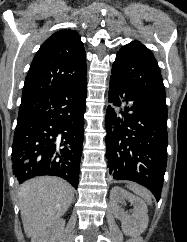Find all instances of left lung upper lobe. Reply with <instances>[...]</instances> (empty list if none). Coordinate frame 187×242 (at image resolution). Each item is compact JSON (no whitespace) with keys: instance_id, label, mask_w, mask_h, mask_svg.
<instances>
[{"instance_id":"obj_1","label":"left lung upper lobe","mask_w":187,"mask_h":242,"mask_svg":"<svg viewBox=\"0 0 187 242\" xmlns=\"http://www.w3.org/2000/svg\"><path fill=\"white\" fill-rule=\"evenodd\" d=\"M111 76L145 95L165 102V88L158 63L152 52L138 41H132L119 50Z\"/></svg>"}]
</instances>
